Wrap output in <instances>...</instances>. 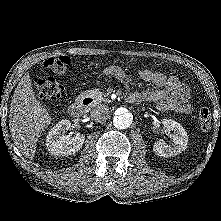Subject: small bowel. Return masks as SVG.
I'll return each mask as SVG.
<instances>
[{
    "label": "small bowel",
    "mask_w": 221,
    "mask_h": 221,
    "mask_svg": "<svg viewBox=\"0 0 221 221\" xmlns=\"http://www.w3.org/2000/svg\"><path fill=\"white\" fill-rule=\"evenodd\" d=\"M102 74L106 77H116L132 82L126 72L118 66L106 67ZM140 77L157 86L156 89H146L142 92H134L129 96V101L139 103L143 101L154 102L159 111H171L178 114L189 115L192 106L189 104L190 90L176 76L165 75L161 72H153L145 69L139 72ZM137 96V98H132Z\"/></svg>",
    "instance_id": "c3829d8e"
}]
</instances>
